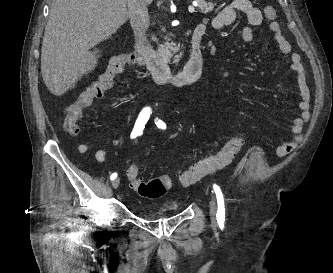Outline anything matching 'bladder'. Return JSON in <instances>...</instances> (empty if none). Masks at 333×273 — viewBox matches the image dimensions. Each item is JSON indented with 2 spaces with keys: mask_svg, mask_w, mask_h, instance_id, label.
<instances>
[{
  "mask_svg": "<svg viewBox=\"0 0 333 273\" xmlns=\"http://www.w3.org/2000/svg\"><path fill=\"white\" fill-rule=\"evenodd\" d=\"M175 212L176 210L169 207H156L147 217L151 219H162Z\"/></svg>",
  "mask_w": 333,
  "mask_h": 273,
  "instance_id": "bladder-1",
  "label": "bladder"
}]
</instances>
